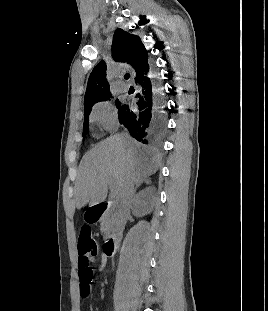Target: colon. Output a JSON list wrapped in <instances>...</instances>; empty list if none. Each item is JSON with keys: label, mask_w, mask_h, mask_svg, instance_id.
Segmentation results:
<instances>
[{"label": "colon", "mask_w": 268, "mask_h": 311, "mask_svg": "<svg viewBox=\"0 0 268 311\" xmlns=\"http://www.w3.org/2000/svg\"><path fill=\"white\" fill-rule=\"evenodd\" d=\"M97 253V245L92 238L91 228L83 226L80 230L78 239V274L80 279V293L87 297L90 286L94 279V271L90 267Z\"/></svg>", "instance_id": "colon-1"}]
</instances>
